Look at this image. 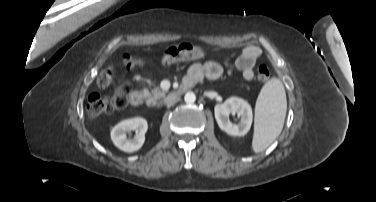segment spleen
<instances>
[{"label": "spleen", "instance_id": "1", "mask_svg": "<svg viewBox=\"0 0 376 202\" xmlns=\"http://www.w3.org/2000/svg\"><path fill=\"white\" fill-rule=\"evenodd\" d=\"M287 110L286 93L282 82L272 78L262 87L255 106V130L252 149L260 152L281 133Z\"/></svg>", "mask_w": 376, "mask_h": 202}]
</instances>
